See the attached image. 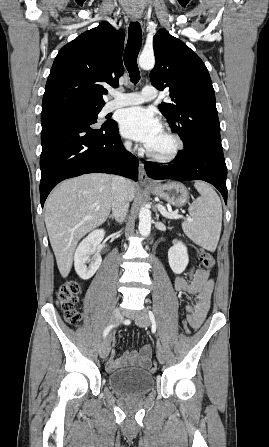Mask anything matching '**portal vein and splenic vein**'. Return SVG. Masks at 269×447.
I'll return each instance as SVG.
<instances>
[{
  "mask_svg": "<svg viewBox=\"0 0 269 447\" xmlns=\"http://www.w3.org/2000/svg\"><path fill=\"white\" fill-rule=\"evenodd\" d=\"M157 208L164 216V218H168V220H179V218H183V220H188V222H193L192 218H184V216H180V214H175V212H167L166 208L164 206H161V204H157Z\"/></svg>",
  "mask_w": 269,
  "mask_h": 447,
  "instance_id": "obj_1",
  "label": "portal vein and splenic vein"
}]
</instances>
